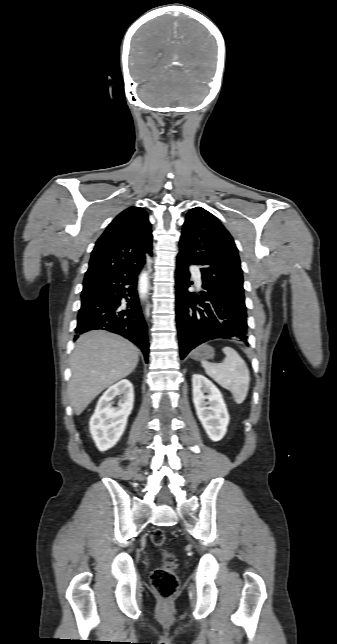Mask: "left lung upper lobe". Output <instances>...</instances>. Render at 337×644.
I'll list each match as a JSON object with an SVG mask.
<instances>
[{"mask_svg":"<svg viewBox=\"0 0 337 644\" xmlns=\"http://www.w3.org/2000/svg\"><path fill=\"white\" fill-rule=\"evenodd\" d=\"M177 258L201 266L202 280L246 308L238 250L232 236L210 212L201 207L188 212Z\"/></svg>","mask_w":337,"mask_h":644,"instance_id":"5c2ea615","label":"left lung upper lobe"}]
</instances>
